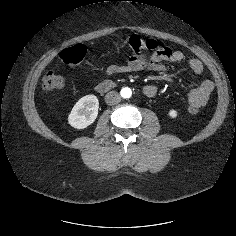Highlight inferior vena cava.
I'll return each mask as SVG.
<instances>
[{"instance_id":"1","label":"inferior vena cava","mask_w":236,"mask_h":236,"mask_svg":"<svg viewBox=\"0 0 236 236\" xmlns=\"http://www.w3.org/2000/svg\"><path fill=\"white\" fill-rule=\"evenodd\" d=\"M121 101V96L116 91H110L105 95V102L108 105H115Z\"/></svg>"}]
</instances>
